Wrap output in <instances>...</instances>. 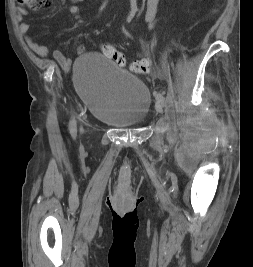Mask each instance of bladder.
<instances>
[{"instance_id":"bladder-1","label":"bladder","mask_w":253,"mask_h":267,"mask_svg":"<svg viewBox=\"0 0 253 267\" xmlns=\"http://www.w3.org/2000/svg\"><path fill=\"white\" fill-rule=\"evenodd\" d=\"M73 78L95 119L115 127L139 126L147 120L152 105L148 87L105 55H80L73 66Z\"/></svg>"}]
</instances>
